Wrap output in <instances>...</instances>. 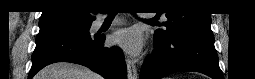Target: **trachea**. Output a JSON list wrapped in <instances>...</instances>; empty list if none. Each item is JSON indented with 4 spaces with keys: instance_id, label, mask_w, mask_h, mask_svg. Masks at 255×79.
<instances>
[{
    "instance_id": "trachea-1",
    "label": "trachea",
    "mask_w": 255,
    "mask_h": 79,
    "mask_svg": "<svg viewBox=\"0 0 255 79\" xmlns=\"http://www.w3.org/2000/svg\"><path fill=\"white\" fill-rule=\"evenodd\" d=\"M113 16H114V13H109L108 14V18H113ZM150 20H153V19H150Z\"/></svg>"
}]
</instances>
